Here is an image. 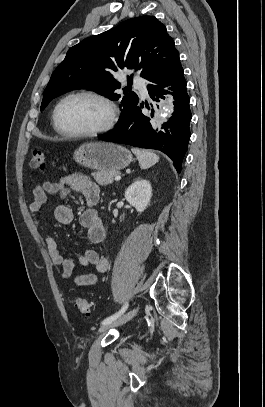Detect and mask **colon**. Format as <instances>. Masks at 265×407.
Here are the masks:
<instances>
[{
	"label": "colon",
	"mask_w": 265,
	"mask_h": 407,
	"mask_svg": "<svg viewBox=\"0 0 265 407\" xmlns=\"http://www.w3.org/2000/svg\"><path fill=\"white\" fill-rule=\"evenodd\" d=\"M45 166V154L41 149H35L32 152L31 160H30V167L33 169H42ZM74 304L78 308L80 314L84 318H88L92 314V303L87 301L86 299L76 297L74 299Z\"/></svg>",
	"instance_id": "1"
}]
</instances>
